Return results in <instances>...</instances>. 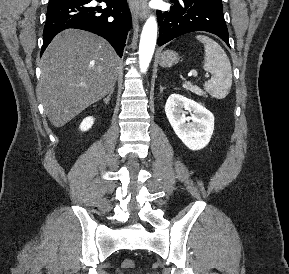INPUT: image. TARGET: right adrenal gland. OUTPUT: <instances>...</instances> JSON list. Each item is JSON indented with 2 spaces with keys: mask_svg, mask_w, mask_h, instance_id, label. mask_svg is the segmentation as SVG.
I'll list each match as a JSON object with an SVG mask.
<instances>
[{
  "mask_svg": "<svg viewBox=\"0 0 289 274\" xmlns=\"http://www.w3.org/2000/svg\"><path fill=\"white\" fill-rule=\"evenodd\" d=\"M113 91H114V88L110 91L109 95L104 99V101H105L106 103H109L110 97H111V95L113 94Z\"/></svg>",
  "mask_w": 289,
  "mask_h": 274,
  "instance_id": "1",
  "label": "right adrenal gland"
}]
</instances>
